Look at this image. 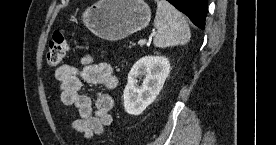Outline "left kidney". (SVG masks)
Masks as SVG:
<instances>
[{"label": "left kidney", "mask_w": 276, "mask_h": 145, "mask_svg": "<svg viewBox=\"0 0 276 145\" xmlns=\"http://www.w3.org/2000/svg\"><path fill=\"white\" fill-rule=\"evenodd\" d=\"M170 72L166 57L145 56L139 59L128 74L124 89V108L128 114L140 115L159 95ZM144 76L142 85L138 77Z\"/></svg>", "instance_id": "1"}]
</instances>
